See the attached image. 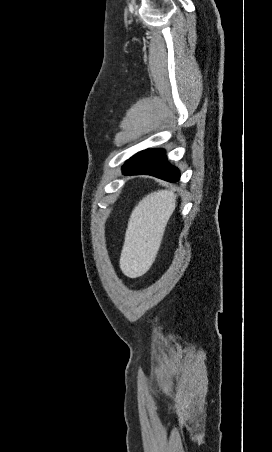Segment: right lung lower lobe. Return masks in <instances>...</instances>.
I'll return each mask as SVG.
<instances>
[{
    "label": "right lung lower lobe",
    "mask_w": 272,
    "mask_h": 452,
    "mask_svg": "<svg viewBox=\"0 0 272 452\" xmlns=\"http://www.w3.org/2000/svg\"><path fill=\"white\" fill-rule=\"evenodd\" d=\"M125 175H151L168 182H177L180 172L170 165L162 149H150L134 155L122 168Z\"/></svg>",
    "instance_id": "1"
}]
</instances>
